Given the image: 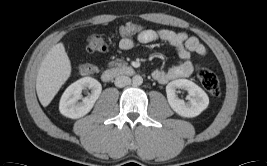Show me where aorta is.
Here are the masks:
<instances>
[{
  "mask_svg": "<svg viewBox=\"0 0 267 166\" xmlns=\"http://www.w3.org/2000/svg\"><path fill=\"white\" fill-rule=\"evenodd\" d=\"M133 85L140 86L143 83V78L140 75H135L132 78Z\"/></svg>",
  "mask_w": 267,
  "mask_h": 166,
  "instance_id": "aorta-1",
  "label": "aorta"
}]
</instances>
